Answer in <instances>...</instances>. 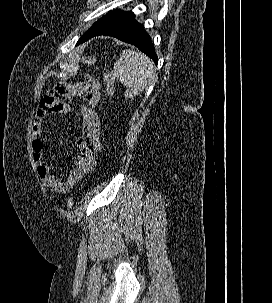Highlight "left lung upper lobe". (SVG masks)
Listing matches in <instances>:
<instances>
[{"mask_svg": "<svg viewBox=\"0 0 272 303\" xmlns=\"http://www.w3.org/2000/svg\"><path fill=\"white\" fill-rule=\"evenodd\" d=\"M119 12H120L119 10H116V11H113V12H111V13H108L107 15H105V16H103L101 19H99L96 23H94L93 26H92L91 28H93L95 25H97L98 23H100V22L103 21L104 19H106V18H108V17H110V16H113V15L119 13ZM91 28H90V29H91ZM90 29H89V30H90Z\"/></svg>", "mask_w": 272, "mask_h": 303, "instance_id": "obj_1", "label": "left lung upper lobe"}]
</instances>
